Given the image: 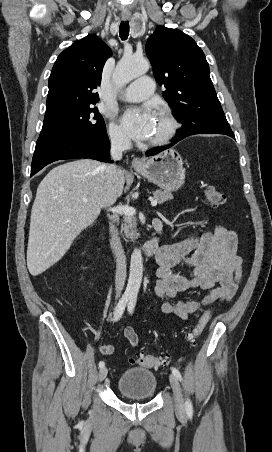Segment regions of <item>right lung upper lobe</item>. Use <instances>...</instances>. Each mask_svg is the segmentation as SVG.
Instances as JSON below:
<instances>
[{
  "mask_svg": "<svg viewBox=\"0 0 272 452\" xmlns=\"http://www.w3.org/2000/svg\"><path fill=\"white\" fill-rule=\"evenodd\" d=\"M111 49L95 34L75 41L58 56L49 77L46 114L99 101L96 89L101 82Z\"/></svg>",
  "mask_w": 272,
  "mask_h": 452,
  "instance_id": "cb5924a9",
  "label": "right lung upper lobe"
}]
</instances>
